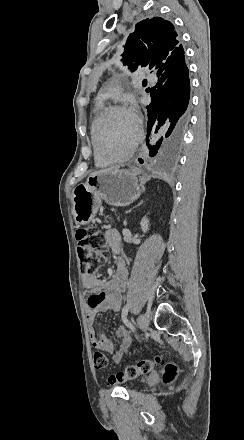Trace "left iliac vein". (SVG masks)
<instances>
[{"mask_svg": "<svg viewBox=\"0 0 244 440\" xmlns=\"http://www.w3.org/2000/svg\"><path fill=\"white\" fill-rule=\"evenodd\" d=\"M149 322H150V317L147 314H141L138 317V326L143 332L147 331Z\"/></svg>", "mask_w": 244, "mask_h": 440, "instance_id": "1", "label": "left iliac vein"}]
</instances>
